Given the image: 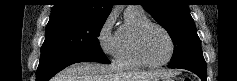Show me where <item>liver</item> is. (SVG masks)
<instances>
[{
  "mask_svg": "<svg viewBox=\"0 0 237 81\" xmlns=\"http://www.w3.org/2000/svg\"><path fill=\"white\" fill-rule=\"evenodd\" d=\"M164 71L124 72L113 65L80 62L70 65L54 81H151Z\"/></svg>",
  "mask_w": 237,
  "mask_h": 81,
  "instance_id": "liver-1",
  "label": "liver"
}]
</instances>
